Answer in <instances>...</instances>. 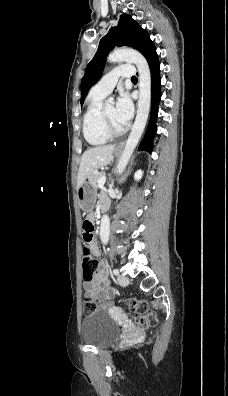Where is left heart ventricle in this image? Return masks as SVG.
<instances>
[{
  "mask_svg": "<svg viewBox=\"0 0 228 396\" xmlns=\"http://www.w3.org/2000/svg\"><path fill=\"white\" fill-rule=\"evenodd\" d=\"M104 111L106 113V116L108 118V120L110 121V123L112 124V126L114 128H121L123 127L122 125H120L116 119H115V106L114 105H108L104 108Z\"/></svg>",
  "mask_w": 228,
  "mask_h": 396,
  "instance_id": "b2bd125f",
  "label": "left heart ventricle"
}]
</instances>
